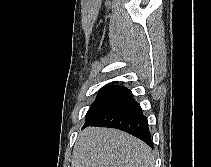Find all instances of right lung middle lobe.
Returning <instances> with one entry per match:
<instances>
[{"label":"right lung middle lobe","instance_id":"obj_1","mask_svg":"<svg viewBox=\"0 0 211 167\" xmlns=\"http://www.w3.org/2000/svg\"><path fill=\"white\" fill-rule=\"evenodd\" d=\"M127 91L128 89L123 86L107 85L103 87L86 114V123L98 117L107 107Z\"/></svg>","mask_w":211,"mask_h":167}]
</instances>
